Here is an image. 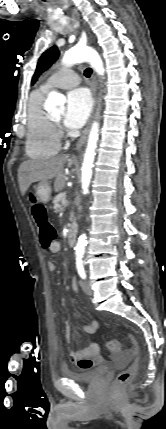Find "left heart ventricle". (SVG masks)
Returning <instances> with one entry per match:
<instances>
[{
	"label": "left heart ventricle",
	"instance_id": "left-heart-ventricle-1",
	"mask_svg": "<svg viewBox=\"0 0 166 429\" xmlns=\"http://www.w3.org/2000/svg\"><path fill=\"white\" fill-rule=\"evenodd\" d=\"M61 116H62V113L55 114V115H53V119L60 120Z\"/></svg>",
	"mask_w": 166,
	"mask_h": 429
}]
</instances>
